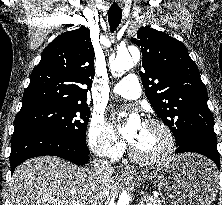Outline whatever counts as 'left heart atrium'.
I'll use <instances>...</instances> for the list:
<instances>
[{
  "label": "left heart atrium",
  "instance_id": "obj_1",
  "mask_svg": "<svg viewBox=\"0 0 222 205\" xmlns=\"http://www.w3.org/2000/svg\"><path fill=\"white\" fill-rule=\"evenodd\" d=\"M143 124L140 116L136 112H133L127 122L120 129L123 137L130 144H133L136 141Z\"/></svg>",
  "mask_w": 222,
  "mask_h": 205
}]
</instances>
